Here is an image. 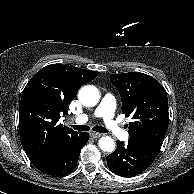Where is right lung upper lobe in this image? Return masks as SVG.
Wrapping results in <instances>:
<instances>
[{"instance_id":"cb5924a9","label":"right lung upper lobe","mask_w":194,"mask_h":194,"mask_svg":"<svg viewBox=\"0 0 194 194\" xmlns=\"http://www.w3.org/2000/svg\"><path fill=\"white\" fill-rule=\"evenodd\" d=\"M99 72L51 64L38 71L23 90L19 106V131L24 151L38 162L57 143L78 132L58 123L79 88Z\"/></svg>"}]
</instances>
